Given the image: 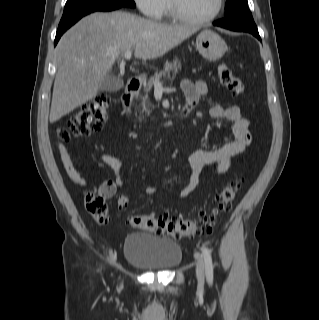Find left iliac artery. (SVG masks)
Segmentation results:
<instances>
[{"mask_svg": "<svg viewBox=\"0 0 319 320\" xmlns=\"http://www.w3.org/2000/svg\"><path fill=\"white\" fill-rule=\"evenodd\" d=\"M201 250L204 256L207 280L211 284L213 282V263L211 253L209 249L204 246L201 248Z\"/></svg>", "mask_w": 319, "mask_h": 320, "instance_id": "obj_1", "label": "left iliac artery"}]
</instances>
